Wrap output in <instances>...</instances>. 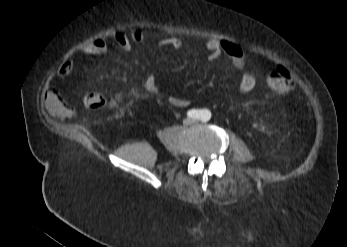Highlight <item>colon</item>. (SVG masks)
I'll return each instance as SVG.
<instances>
[{
    "instance_id": "1",
    "label": "colon",
    "mask_w": 347,
    "mask_h": 247,
    "mask_svg": "<svg viewBox=\"0 0 347 247\" xmlns=\"http://www.w3.org/2000/svg\"><path fill=\"white\" fill-rule=\"evenodd\" d=\"M267 82L270 89L276 94H288L294 89V81L291 74L282 66L275 67L269 72ZM104 103L105 98L96 92L84 93L80 99L81 107L87 111L98 109L102 107Z\"/></svg>"
}]
</instances>
